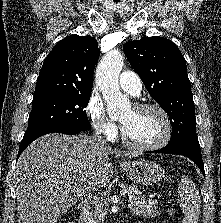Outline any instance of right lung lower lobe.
Here are the masks:
<instances>
[{
  "mask_svg": "<svg viewBox=\"0 0 221 223\" xmlns=\"http://www.w3.org/2000/svg\"><path fill=\"white\" fill-rule=\"evenodd\" d=\"M81 131L83 130L74 129L70 127H63V126H52V127L41 128L30 133H25L19 146L18 157L32 141H34L35 139H37L38 137L42 135L55 133V132L64 133L68 135H76Z\"/></svg>",
  "mask_w": 221,
  "mask_h": 223,
  "instance_id": "right-lung-lower-lobe-1",
  "label": "right lung lower lobe"
}]
</instances>
